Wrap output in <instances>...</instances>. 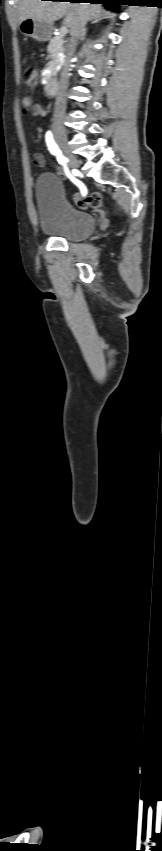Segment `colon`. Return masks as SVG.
<instances>
[{
    "label": "colon",
    "instance_id": "colon-1",
    "mask_svg": "<svg viewBox=\"0 0 162 851\" xmlns=\"http://www.w3.org/2000/svg\"><path fill=\"white\" fill-rule=\"evenodd\" d=\"M24 79L27 90L34 92L39 84V74L35 69H26L24 71ZM75 201L81 209H95L102 204V195L99 192H92L87 196L76 195Z\"/></svg>",
    "mask_w": 162,
    "mask_h": 851
}]
</instances>
